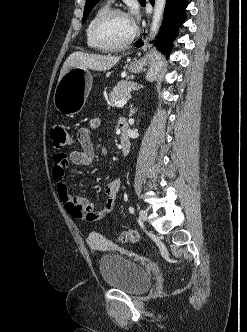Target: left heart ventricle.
Segmentation results:
<instances>
[{
    "mask_svg": "<svg viewBox=\"0 0 247 332\" xmlns=\"http://www.w3.org/2000/svg\"><path fill=\"white\" fill-rule=\"evenodd\" d=\"M134 27L127 15L116 14L104 23L101 35L108 43L119 44L131 35Z\"/></svg>",
    "mask_w": 247,
    "mask_h": 332,
    "instance_id": "1",
    "label": "left heart ventricle"
}]
</instances>
